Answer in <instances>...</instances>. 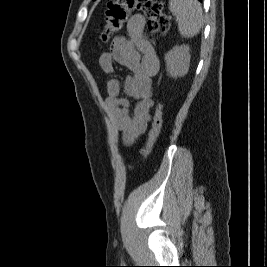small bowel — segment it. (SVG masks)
<instances>
[{
    "label": "small bowel",
    "mask_w": 267,
    "mask_h": 267,
    "mask_svg": "<svg viewBox=\"0 0 267 267\" xmlns=\"http://www.w3.org/2000/svg\"><path fill=\"white\" fill-rule=\"evenodd\" d=\"M145 23L143 15H133L127 23V37L115 38L109 51L99 58L101 69L109 75L114 74L115 63L131 70L124 91L128 97L137 100L132 111L129 110V101L120 97V81L111 77L106 83L105 108L114 127L122 133L126 146L133 144L146 131L154 105L152 80L160 68L155 49L145 35Z\"/></svg>",
    "instance_id": "obj_1"
}]
</instances>
